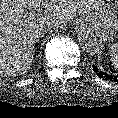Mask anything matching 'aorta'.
Returning a JSON list of instances; mask_svg holds the SVG:
<instances>
[{
  "label": "aorta",
  "mask_w": 118,
  "mask_h": 118,
  "mask_svg": "<svg viewBox=\"0 0 118 118\" xmlns=\"http://www.w3.org/2000/svg\"><path fill=\"white\" fill-rule=\"evenodd\" d=\"M82 49L90 55H99L102 51L100 40L89 32H80L78 35Z\"/></svg>",
  "instance_id": "762f6f07"
}]
</instances>
